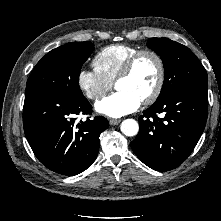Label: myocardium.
Segmentation results:
<instances>
[{"instance_id":"obj_1","label":"myocardium","mask_w":221,"mask_h":221,"mask_svg":"<svg viewBox=\"0 0 221 221\" xmlns=\"http://www.w3.org/2000/svg\"><path fill=\"white\" fill-rule=\"evenodd\" d=\"M143 56L153 57L154 60L156 61L157 68H158V76H157L156 85L154 89L152 90V92L145 99L142 100L143 104L150 105V104H153L159 98L164 87L165 75H166L164 60L161 57V55L157 53L156 51L151 50V49H142V50L137 51L133 55H131L125 62L121 71L119 72L115 80V85L119 81L128 78L133 73L138 61Z\"/></svg>"}]
</instances>
